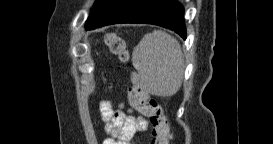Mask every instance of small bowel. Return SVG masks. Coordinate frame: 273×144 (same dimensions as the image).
<instances>
[{"instance_id":"obj_1","label":"small bowel","mask_w":273,"mask_h":144,"mask_svg":"<svg viewBox=\"0 0 273 144\" xmlns=\"http://www.w3.org/2000/svg\"><path fill=\"white\" fill-rule=\"evenodd\" d=\"M133 110H115L107 101L100 103V114L105 122V129L112 134L116 140H109L110 144H130L137 134L148 128V121L141 116H134Z\"/></svg>"}]
</instances>
